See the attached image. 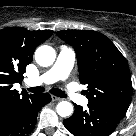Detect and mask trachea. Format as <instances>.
Masks as SVG:
<instances>
[{
  "instance_id": "trachea-1",
  "label": "trachea",
  "mask_w": 136,
  "mask_h": 136,
  "mask_svg": "<svg viewBox=\"0 0 136 136\" xmlns=\"http://www.w3.org/2000/svg\"><path fill=\"white\" fill-rule=\"evenodd\" d=\"M28 90L32 93H41V92L45 91V88L41 87V86H37V87L29 88ZM50 93H52L53 95L58 96V97H62V98L66 97V94L63 91H61L60 89H57V88L51 89Z\"/></svg>"
}]
</instances>
